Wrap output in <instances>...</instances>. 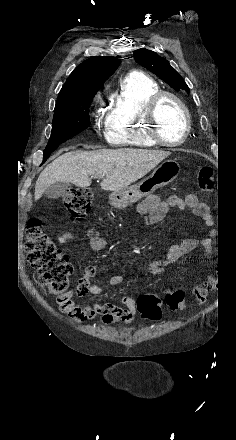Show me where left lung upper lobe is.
<instances>
[{"instance_id":"left-lung-upper-lobe-1","label":"left lung upper lobe","mask_w":236,"mask_h":440,"mask_svg":"<svg viewBox=\"0 0 236 440\" xmlns=\"http://www.w3.org/2000/svg\"><path fill=\"white\" fill-rule=\"evenodd\" d=\"M136 62L160 77L175 90L183 89L189 93V88L183 78L172 68L169 62L157 53L145 48L134 52Z\"/></svg>"}]
</instances>
